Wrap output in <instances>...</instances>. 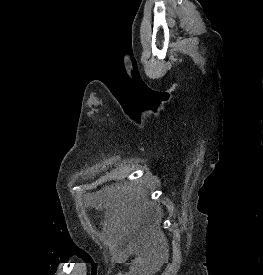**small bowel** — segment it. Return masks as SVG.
<instances>
[{
    "instance_id": "obj_1",
    "label": "small bowel",
    "mask_w": 263,
    "mask_h": 275,
    "mask_svg": "<svg viewBox=\"0 0 263 275\" xmlns=\"http://www.w3.org/2000/svg\"><path fill=\"white\" fill-rule=\"evenodd\" d=\"M104 225L112 229L114 233H118L110 219H106L104 221ZM133 254H136V256L130 263H127L128 259ZM116 261L120 264H128V268L126 270H123L116 275H145L144 273L146 272L148 267L147 261L140 253L138 246L132 243H128L125 248L118 250Z\"/></svg>"
}]
</instances>
